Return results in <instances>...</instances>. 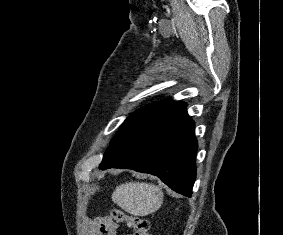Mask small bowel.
<instances>
[{
    "label": "small bowel",
    "instance_id": "1",
    "mask_svg": "<svg viewBox=\"0 0 283 235\" xmlns=\"http://www.w3.org/2000/svg\"><path fill=\"white\" fill-rule=\"evenodd\" d=\"M89 228L93 235H116L118 226L107 217H97L92 220Z\"/></svg>",
    "mask_w": 283,
    "mask_h": 235
}]
</instances>
